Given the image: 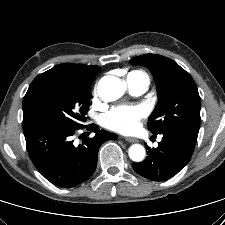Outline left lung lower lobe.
Listing matches in <instances>:
<instances>
[{"label": "left lung lower lobe", "mask_w": 225, "mask_h": 225, "mask_svg": "<svg viewBox=\"0 0 225 225\" xmlns=\"http://www.w3.org/2000/svg\"><path fill=\"white\" fill-rule=\"evenodd\" d=\"M162 141L157 148L147 146V157L133 163V169L141 176L153 181H165L175 176L190 161L197 137L166 130L160 133Z\"/></svg>", "instance_id": "obj_1"}]
</instances>
